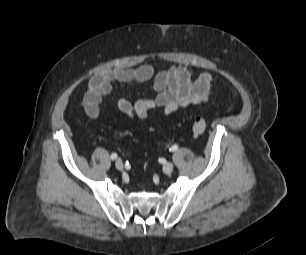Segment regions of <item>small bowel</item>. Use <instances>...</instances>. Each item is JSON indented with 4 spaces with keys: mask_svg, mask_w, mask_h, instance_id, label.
Returning <instances> with one entry per match:
<instances>
[{
    "mask_svg": "<svg viewBox=\"0 0 306 255\" xmlns=\"http://www.w3.org/2000/svg\"><path fill=\"white\" fill-rule=\"evenodd\" d=\"M152 80L155 96L131 102L119 98L117 107L131 121H144L151 110L160 108L165 115L190 105L206 102L213 93V78L208 72L196 75L188 65H175L155 73L149 64L137 68H117L94 75L88 82L84 109L88 117L100 116L102 98L110 94L114 85L142 84Z\"/></svg>",
    "mask_w": 306,
    "mask_h": 255,
    "instance_id": "c3829d8e",
    "label": "small bowel"
}]
</instances>
